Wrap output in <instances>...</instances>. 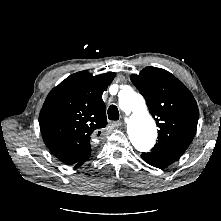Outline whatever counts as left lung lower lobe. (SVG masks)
Listing matches in <instances>:
<instances>
[{
    "label": "left lung lower lobe",
    "mask_w": 221,
    "mask_h": 221,
    "mask_svg": "<svg viewBox=\"0 0 221 221\" xmlns=\"http://www.w3.org/2000/svg\"><path fill=\"white\" fill-rule=\"evenodd\" d=\"M141 157L145 162L157 168L166 167L174 163L179 158L175 155H168L157 152L142 153Z\"/></svg>",
    "instance_id": "obj_1"
}]
</instances>
